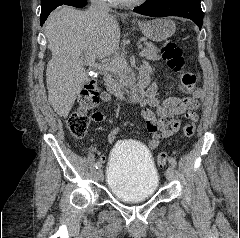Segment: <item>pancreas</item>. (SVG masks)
<instances>
[{
    "label": "pancreas",
    "mask_w": 240,
    "mask_h": 238,
    "mask_svg": "<svg viewBox=\"0 0 240 238\" xmlns=\"http://www.w3.org/2000/svg\"><path fill=\"white\" fill-rule=\"evenodd\" d=\"M158 53L159 49L155 45L149 44L147 46V52L145 53L144 57L147 60L156 61L161 58V56ZM115 59L119 60V64L116 65L114 69L108 70L110 73L109 75L113 77L114 81L123 82L124 79H126L130 73L128 64L123 54H121V56L119 57H116Z\"/></svg>",
    "instance_id": "pancreas-1"
}]
</instances>
